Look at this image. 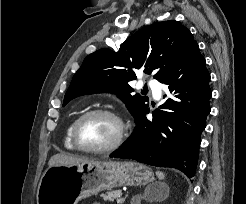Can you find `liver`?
Here are the masks:
<instances>
[{
    "label": "liver",
    "instance_id": "6515ba94",
    "mask_svg": "<svg viewBox=\"0 0 246 204\" xmlns=\"http://www.w3.org/2000/svg\"><path fill=\"white\" fill-rule=\"evenodd\" d=\"M88 162L95 163L97 161L89 160L86 158H79L63 153H58L50 158L48 165L49 167H52L54 165H75L79 163H88Z\"/></svg>",
    "mask_w": 246,
    "mask_h": 204
}]
</instances>
